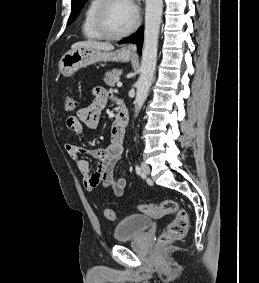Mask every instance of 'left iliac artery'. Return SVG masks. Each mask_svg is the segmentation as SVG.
Instances as JSON below:
<instances>
[{
	"label": "left iliac artery",
	"instance_id": "1",
	"mask_svg": "<svg viewBox=\"0 0 259 283\" xmlns=\"http://www.w3.org/2000/svg\"><path fill=\"white\" fill-rule=\"evenodd\" d=\"M135 171L138 175L141 174V168L138 165L135 166Z\"/></svg>",
	"mask_w": 259,
	"mask_h": 283
}]
</instances>
